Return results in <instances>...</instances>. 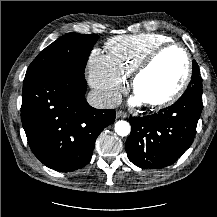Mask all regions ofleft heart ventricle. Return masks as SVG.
Here are the masks:
<instances>
[{
  "instance_id": "left-heart-ventricle-1",
  "label": "left heart ventricle",
  "mask_w": 217,
  "mask_h": 217,
  "mask_svg": "<svg viewBox=\"0 0 217 217\" xmlns=\"http://www.w3.org/2000/svg\"><path fill=\"white\" fill-rule=\"evenodd\" d=\"M185 72L186 60L181 51L164 52L138 80L136 95L142 101L162 99L178 88Z\"/></svg>"
}]
</instances>
